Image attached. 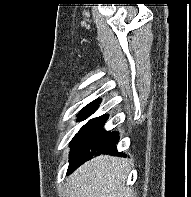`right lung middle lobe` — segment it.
Listing matches in <instances>:
<instances>
[{"label": "right lung middle lobe", "instance_id": "right-lung-middle-lobe-1", "mask_svg": "<svg viewBox=\"0 0 191 197\" xmlns=\"http://www.w3.org/2000/svg\"><path fill=\"white\" fill-rule=\"evenodd\" d=\"M90 113H91V110H83L81 113H79L78 115H77V117H78V121H80V120H84L85 118H87V116H89L90 115ZM79 133V132H78ZM78 133L74 136V138L72 139V142H71V144H70V146H74V144H75V141H76V139H77V136H78ZM71 151H72V148H71V150H70V156H71Z\"/></svg>", "mask_w": 191, "mask_h": 197}]
</instances>
